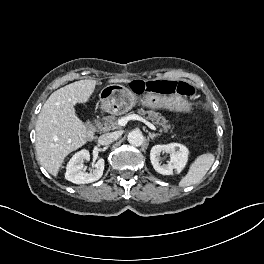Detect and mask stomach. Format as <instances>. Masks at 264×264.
I'll return each instance as SVG.
<instances>
[{"label":"stomach","instance_id":"1","mask_svg":"<svg viewBox=\"0 0 264 264\" xmlns=\"http://www.w3.org/2000/svg\"><path fill=\"white\" fill-rule=\"evenodd\" d=\"M101 110L113 115H121L131 110L139 101L136 94L129 88L111 84L104 87L99 94ZM143 106L159 109L168 108L173 111L189 113L192 110V102L181 95H161L148 92L140 99Z\"/></svg>","mask_w":264,"mask_h":264}]
</instances>
